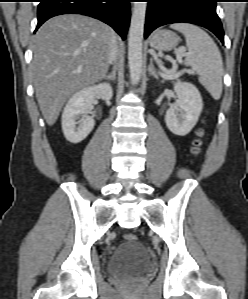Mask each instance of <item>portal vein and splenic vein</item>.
Instances as JSON below:
<instances>
[{"mask_svg": "<svg viewBox=\"0 0 248 299\" xmlns=\"http://www.w3.org/2000/svg\"><path fill=\"white\" fill-rule=\"evenodd\" d=\"M184 72H191V70H183V71L178 72V73H176L175 71L171 70V71H167L165 73H162V76L164 78H178Z\"/></svg>", "mask_w": 248, "mask_h": 299, "instance_id": "portal-vein-and-splenic-vein-1", "label": "portal vein and splenic vein"}]
</instances>
